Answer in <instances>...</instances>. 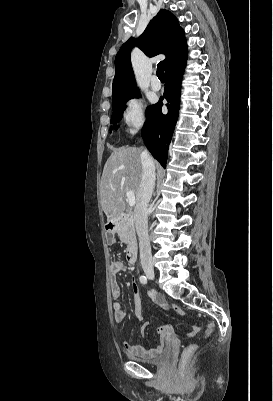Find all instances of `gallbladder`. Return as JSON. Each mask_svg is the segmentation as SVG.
<instances>
[{"label": "gallbladder", "instance_id": "1", "mask_svg": "<svg viewBox=\"0 0 273 401\" xmlns=\"http://www.w3.org/2000/svg\"><path fill=\"white\" fill-rule=\"evenodd\" d=\"M107 245L108 246H113L114 245V233L112 232V231H109L108 233H107Z\"/></svg>", "mask_w": 273, "mask_h": 401}]
</instances>
